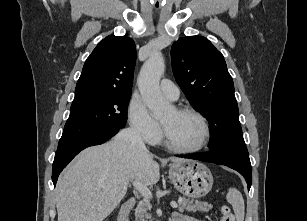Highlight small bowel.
Listing matches in <instances>:
<instances>
[{
	"instance_id": "c3829d8e",
	"label": "small bowel",
	"mask_w": 307,
	"mask_h": 221,
	"mask_svg": "<svg viewBox=\"0 0 307 221\" xmlns=\"http://www.w3.org/2000/svg\"><path fill=\"white\" fill-rule=\"evenodd\" d=\"M173 221H200V220L189 217L181 212H176L173 214Z\"/></svg>"
}]
</instances>
